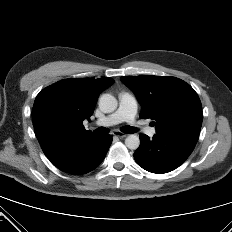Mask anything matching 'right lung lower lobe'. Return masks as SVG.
Wrapping results in <instances>:
<instances>
[{"mask_svg": "<svg viewBox=\"0 0 232 232\" xmlns=\"http://www.w3.org/2000/svg\"><path fill=\"white\" fill-rule=\"evenodd\" d=\"M111 142V135H94L82 142L60 146L46 154V157L64 172L85 174L100 165Z\"/></svg>", "mask_w": 232, "mask_h": 232, "instance_id": "98d812e1", "label": "right lung lower lobe"}]
</instances>
